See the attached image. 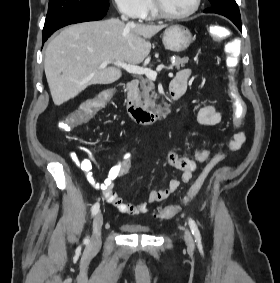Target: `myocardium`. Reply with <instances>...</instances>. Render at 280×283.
Here are the masks:
<instances>
[{"instance_id":"myocardium-1","label":"myocardium","mask_w":280,"mask_h":283,"mask_svg":"<svg viewBox=\"0 0 280 283\" xmlns=\"http://www.w3.org/2000/svg\"><path fill=\"white\" fill-rule=\"evenodd\" d=\"M201 0H194V4L190 10L182 14H171L165 11L158 3L157 0H151L152 10L155 15L165 20H183L194 15L200 8Z\"/></svg>"}]
</instances>
